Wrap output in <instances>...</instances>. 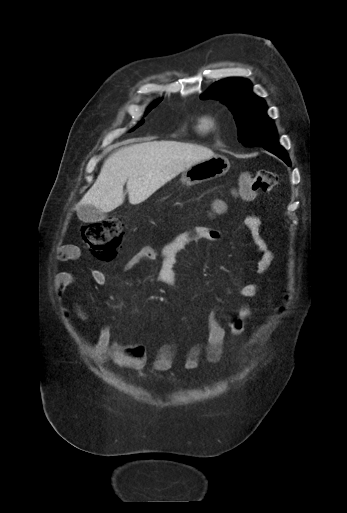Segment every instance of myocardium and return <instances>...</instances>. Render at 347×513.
<instances>
[{"instance_id": "1", "label": "myocardium", "mask_w": 347, "mask_h": 513, "mask_svg": "<svg viewBox=\"0 0 347 513\" xmlns=\"http://www.w3.org/2000/svg\"><path fill=\"white\" fill-rule=\"evenodd\" d=\"M201 128L205 131H211L216 128V121L211 116H206L201 120Z\"/></svg>"}]
</instances>
